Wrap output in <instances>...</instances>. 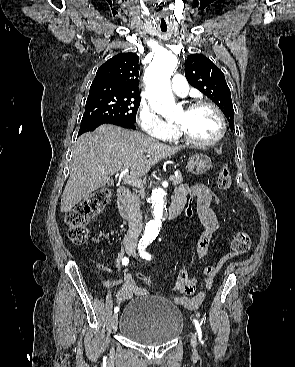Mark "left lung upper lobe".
I'll list each match as a JSON object with an SVG mask.
<instances>
[{
    "mask_svg": "<svg viewBox=\"0 0 295 367\" xmlns=\"http://www.w3.org/2000/svg\"><path fill=\"white\" fill-rule=\"evenodd\" d=\"M185 76L193 87L217 104L234 131V109L224 73L206 56L191 54L185 61Z\"/></svg>",
    "mask_w": 295,
    "mask_h": 367,
    "instance_id": "1",
    "label": "left lung upper lobe"
}]
</instances>
